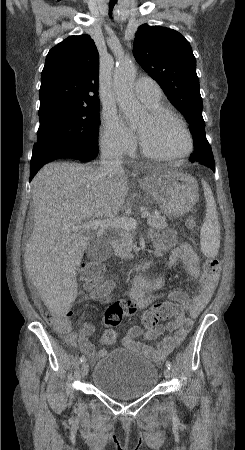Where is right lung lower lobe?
<instances>
[{"mask_svg": "<svg viewBox=\"0 0 245 450\" xmlns=\"http://www.w3.org/2000/svg\"><path fill=\"white\" fill-rule=\"evenodd\" d=\"M96 151H82V152H58L42 156L36 162L30 163V181L33 179L38 170L47 162L60 158H74L81 161H90L95 158Z\"/></svg>", "mask_w": 245, "mask_h": 450, "instance_id": "right-lung-lower-lobe-1", "label": "right lung lower lobe"}]
</instances>
